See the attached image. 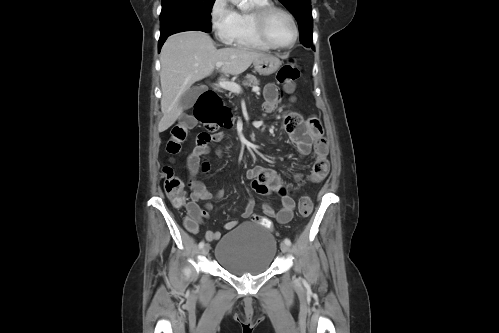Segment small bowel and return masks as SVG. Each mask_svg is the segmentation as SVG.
I'll return each instance as SVG.
<instances>
[{
  "label": "small bowel",
  "mask_w": 499,
  "mask_h": 333,
  "mask_svg": "<svg viewBox=\"0 0 499 333\" xmlns=\"http://www.w3.org/2000/svg\"><path fill=\"white\" fill-rule=\"evenodd\" d=\"M281 96L282 93L277 85L273 83L267 84L264 89L265 102L263 103V110L267 113L272 112L280 102ZM284 126L300 155H314L309 180L313 183L324 180L328 175L330 164L328 160V144L323 136L320 121L315 117L305 119L296 112H289L284 117ZM222 138L223 133L220 131L212 134L201 133L198 136L194 150L187 159L188 187L191 192V200L187 205V209H198L202 216L207 214L206 210L210 208V204L208 203L206 208L202 209L199 207L198 201L210 202L223 196V190L213 193L199 179L200 173L207 174L210 171V163L206 159L210 152V143L220 142ZM245 175L250 181L251 188L258 194L269 196L275 193L280 196V208L275 210L270 202H266L263 205V213L268 217L275 218L281 224L288 223L292 219L295 209L292 190L280 180L273 170L260 165L249 168ZM300 178L301 175H297V179ZM254 207L255 202L249 197L242 212V217H251ZM238 223V221H229L224 224V229L230 230L236 227ZM190 230L196 232L197 227ZM220 237L221 233L219 231L208 230L206 232V238L209 241H216Z\"/></svg>",
  "instance_id": "obj_1"
}]
</instances>
